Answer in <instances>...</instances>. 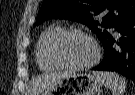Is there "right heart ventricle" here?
<instances>
[{
    "label": "right heart ventricle",
    "instance_id": "e07e8e85",
    "mask_svg": "<svg viewBox=\"0 0 135 95\" xmlns=\"http://www.w3.org/2000/svg\"><path fill=\"white\" fill-rule=\"evenodd\" d=\"M62 27L53 25L48 27L39 37L36 44L35 57L38 67L43 71L60 68L49 57L48 47L52 39L62 31Z\"/></svg>",
    "mask_w": 135,
    "mask_h": 95
}]
</instances>
